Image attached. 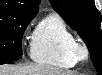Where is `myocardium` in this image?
Here are the masks:
<instances>
[{"mask_svg":"<svg viewBox=\"0 0 102 75\" xmlns=\"http://www.w3.org/2000/svg\"><path fill=\"white\" fill-rule=\"evenodd\" d=\"M75 54L77 59L84 60L88 56L87 48L82 43H77L75 48Z\"/></svg>","mask_w":102,"mask_h":75,"instance_id":"myocardium-1","label":"myocardium"}]
</instances>
